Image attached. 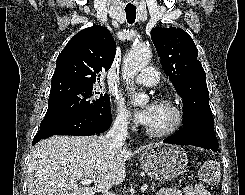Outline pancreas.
<instances>
[{
    "label": "pancreas",
    "mask_w": 245,
    "mask_h": 195,
    "mask_svg": "<svg viewBox=\"0 0 245 195\" xmlns=\"http://www.w3.org/2000/svg\"><path fill=\"white\" fill-rule=\"evenodd\" d=\"M156 184L154 182L151 183V188L154 189Z\"/></svg>",
    "instance_id": "pancreas-1"
}]
</instances>
